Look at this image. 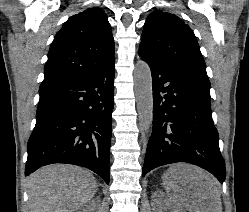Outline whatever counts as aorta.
<instances>
[{
	"label": "aorta",
	"instance_id": "aorta-1",
	"mask_svg": "<svg viewBox=\"0 0 249 212\" xmlns=\"http://www.w3.org/2000/svg\"><path fill=\"white\" fill-rule=\"evenodd\" d=\"M134 82L139 123L142 134L147 135L153 120V94L151 70L146 62L135 65Z\"/></svg>",
	"mask_w": 249,
	"mask_h": 212
}]
</instances>
